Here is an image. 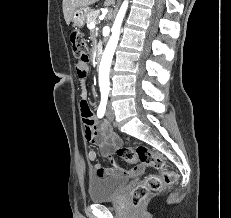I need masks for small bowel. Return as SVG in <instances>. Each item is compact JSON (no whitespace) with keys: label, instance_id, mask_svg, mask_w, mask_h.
Masks as SVG:
<instances>
[{"label":"small bowel","instance_id":"c3829d8e","mask_svg":"<svg viewBox=\"0 0 231 218\" xmlns=\"http://www.w3.org/2000/svg\"><path fill=\"white\" fill-rule=\"evenodd\" d=\"M89 59V56L80 58L75 67L82 87L80 107L85 125L84 133L88 141L99 146L101 154L108 158L111 164L109 168L103 167L100 163L96 162L97 153L95 151H89L87 159L94 163L91 172L103 177L110 175H123L126 177L138 176L143 172L144 166L138 165L130 169L121 167L114 157L116 149L120 146V140L107 123H97L94 119L93 111L88 102V92L85 87L87 74H89V69H87V65L90 64Z\"/></svg>","mask_w":231,"mask_h":218}]
</instances>
